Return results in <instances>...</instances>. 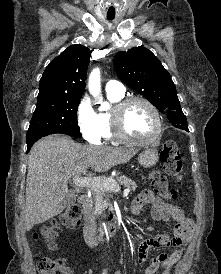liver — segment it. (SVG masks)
<instances>
[{"label":"liver","instance_id":"liver-1","mask_svg":"<svg viewBox=\"0 0 221 274\" xmlns=\"http://www.w3.org/2000/svg\"><path fill=\"white\" fill-rule=\"evenodd\" d=\"M137 149L80 145L62 135L45 137L34 144L28 158L26 179L25 229L43 223L60 214L68 194L67 183L72 177L94 172H106L127 163ZM92 177L91 172L87 174Z\"/></svg>","mask_w":221,"mask_h":274}]
</instances>
